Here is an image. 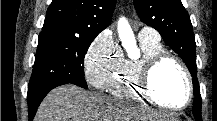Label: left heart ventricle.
I'll return each instance as SVG.
<instances>
[{"mask_svg": "<svg viewBox=\"0 0 217 121\" xmlns=\"http://www.w3.org/2000/svg\"><path fill=\"white\" fill-rule=\"evenodd\" d=\"M153 91L164 103L182 105L187 98V82L182 71L173 63L166 62L151 78Z\"/></svg>", "mask_w": 217, "mask_h": 121, "instance_id": "left-heart-ventricle-1", "label": "left heart ventricle"}]
</instances>
